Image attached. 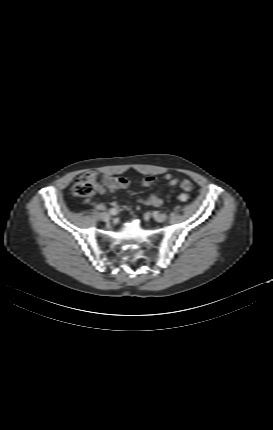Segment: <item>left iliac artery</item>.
Masks as SVG:
<instances>
[{
	"mask_svg": "<svg viewBox=\"0 0 273 430\" xmlns=\"http://www.w3.org/2000/svg\"><path fill=\"white\" fill-rule=\"evenodd\" d=\"M186 200H187L186 195L184 194L179 195V202L184 203L186 202Z\"/></svg>",
	"mask_w": 273,
	"mask_h": 430,
	"instance_id": "left-iliac-artery-1",
	"label": "left iliac artery"
}]
</instances>
